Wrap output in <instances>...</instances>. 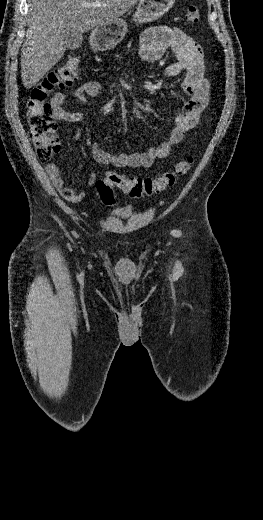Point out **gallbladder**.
Here are the masks:
<instances>
[{
    "mask_svg": "<svg viewBox=\"0 0 263 520\" xmlns=\"http://www.w3.org/2000/svg\"><path fill=\"white\" fill-rule=\"evenodd\" d=\"M82 40V34L70 32V34L67 35V48L69 50L78 49L82 44Z\"/></svg>",
    "mask_w": 263,
    "mask_h": 520,
    "instance_id": "gallbladder-1",
    "label": "gallbladder"
}]
</instances>
